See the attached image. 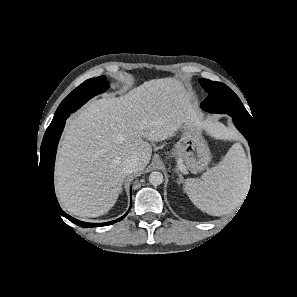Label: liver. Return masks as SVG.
<instances>
[{
  "label": "liver",
  "mask_w": 297,
  "mask_h": 297,
  "mask_svg": "<svg viewBox=\"0 0 297 297\" xmlns=\"http://www.w3.org/2000/svg\"><path fill=\"white\" fill-rule=\"evenodd\" d=\"M185 123L209 127L173 78L144 82L120 98L92 100L67 120L58 150L55 189L62 207L78 217L107 213L126 177L123 162L135 157V172L142 171L152 155L148 141L166 140Z\"/></svg>",
  "instance_id": "liver-1"
}]
</instances>
